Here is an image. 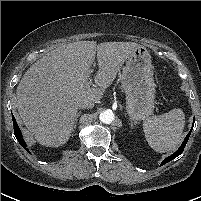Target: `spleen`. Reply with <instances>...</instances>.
<instances>
[{
  "mask_svg": "<svg viewBox=\"0 0 201 201\" xmlns=\"http://www.w3.org/2000/svg\"><path fill=\"white\" fill-rule=\"evenodd\" d=\"M185 125V115L181 109L149 117L143 123L145 138L152 149L157 152L175 150L181 142Z\"/></svg>",
  "mask_w": 201,
  "mask_h": 201,
  "instance_id": "1",
  "label": "spleen"
}]
</instances>
